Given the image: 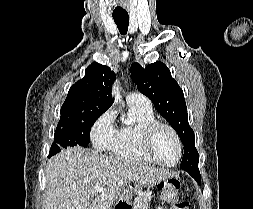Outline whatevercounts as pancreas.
<instances>
[{
    "instance_id": "obj_1",
    "label": "pancreas",
    "mask_w": 253,
    "mask_h": 209,
    "mask_svg": "<svg viewBox=\"0 0 253 209\" xmlns=\"http://www.w3.org/2000/svg\"><path fill=\"white\" fill-rule=\"evenodd\" d=\"M150 198L137 197L133 203V209H149Z\"/></svg>"
}]
</instances>
